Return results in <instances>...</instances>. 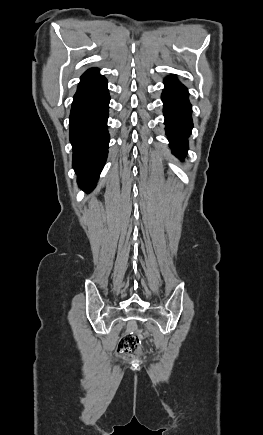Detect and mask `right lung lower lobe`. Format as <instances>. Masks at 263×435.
Masks as SVG:
<instances>
[{
  "mask_svg": "<svg viewBox=\"0 0 263 435\" xmlns=\"http://www.w3.org/2000/svg\"><path fill=\"white\" fill-rule=\"evenodd\" d=\"M107 80L98 68L88 69L80 78L70 113V142L73 168L79 187L91 191L105 165L108 153L109 111Z\"/></svg>",
  "mask_w": 263,
  "mask_h": 435,
  "instance_id": "98d812e1",
  "label": "right lung lower lobe"
}]
</instances>
